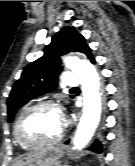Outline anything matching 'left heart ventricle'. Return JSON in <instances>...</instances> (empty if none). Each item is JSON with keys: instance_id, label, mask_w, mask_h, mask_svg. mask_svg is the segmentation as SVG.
<instances>
[{"instance_id": "obj_1", "label": "left heart ventricle", "mask_w": 135, "mask_h": 166, "mask_svg": "<svg viewBox=\"0 0 135 166\" xmlns=\"http://www.w3.org/2000/svg\"><path fill=\"white\" fill-rule=\"evenodd\" d=\"M62 114L52 108L29 113L21 122L20 134L29 141H47L56 138L63 129Z\"/></svg>"}]
</instances>
